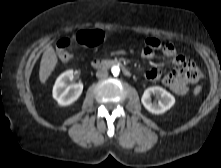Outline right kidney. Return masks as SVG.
Instances as JSON below:
<instances>
[{
    "instance_id": "obj_1",
    "label": "right kidney",
    "mask_w": 221,
    "mask_h": 168,
    "mask_svg": "<svg viewBox=\"0 0 221 168\" xmlns=\"http://www.w3.org/2000/svg\"><path fill=\"white\" fill-rule=\"evenodd\" d=\"M74 77L73 70L62 73L53 87V98L60 106H68L74 103L82 94L83 84H68Z\"/></svg>"
}]
</instances>
